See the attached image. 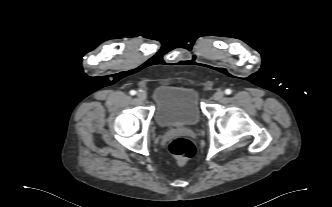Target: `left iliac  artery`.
Wrapping results in <instances>:
<instances>
[{"label":"left iliac artery","mask_w":332,"mask_h":207,"mask_svg":"<svg viewBox=\"0 0 332 207\" xmlns=\"http://www.w3.org/2000/svg\"><path fill=\"white\" fill-rule=\"evenodd\" d=\"M232 93L231 89H226L225 94L230 95Z\"/></svg>","instance_id":"44dca946"}]
</instances>
